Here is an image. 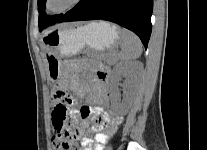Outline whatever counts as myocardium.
Segmentation results:
<instances>
[{
  "mask_svg": "<svg viewBox=\"0 0 207 150\" xmlns=\"http://www.w3.org/2000/svg\"><path fill=\"white\" fill-rule=\"evenodd\" d=\"M81 2L82 0H72L71 3L66 7H64L63 9L55 11L50 8V0H45V8L49 13L59 15L68 12L69 10L79 5Z\"/></svg>",
  "mask_w": 207,
  "mask_h": 150,
  "instance_id": "f54148a6",
  "label": "myocardium"
}]
</instances>
